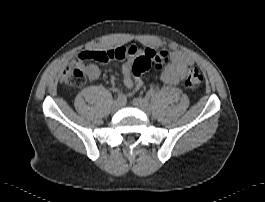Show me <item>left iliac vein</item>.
<instances>
[{
  "label": "left iliac vein",
  "instance_id": "left-iliac-vein-1",
  "mask_svg": "<svg viewBox=\"0 0 265 202\" xmlns=\"http://www.w3.org/2000/svg\"><path fill=\"white\" fill-rule=\"evenodd\" d=\"M133 104L136 108L142 110L146 115L151 114V105L146 98H141V97L134 98Z\"/></svg>",
  "mask_w": 265,
  "mask_h": 202
}]
</instances>
